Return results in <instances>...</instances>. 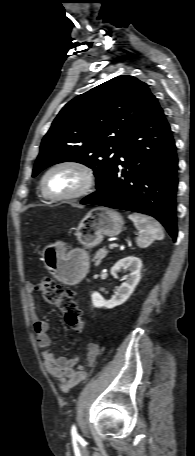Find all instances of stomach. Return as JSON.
<instances>
[{
    "label": "stomach",
    "mask_w": 195,
    "mask_h": 456,
    "mask_svg": "<svg viewBox=\"0 0 195 456\" xmlns=\"http://www.w3.org/2000/svg\"><path fill=\"white\" fill-rule=\"evenodd\" d=\"M123 217L115 210L97 207L90 210L79 222L75 235L83 248L67 250L62 243L48 245L43 250V261L50 273L66 284H76L89 269V254L86 249L99 245L105 236L121 233Z\"/></svg>",
    "instance_id": "1"
}]
</instances>
